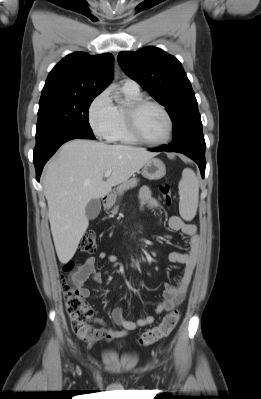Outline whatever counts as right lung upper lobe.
Listing matches in <instances>:
<instances>
[{
  "label": "right lung upper lobe",
  "mask_w": 261,
  "mask_h": 399,
  "mask_svg": "<svg viewBox=\"0 0 261 399\" xmlns=\"http://www.w3.org/2000/svg\"><path fill=\"white\" fill-rule=\"evenodd\" d=\"M113 56L110 53L92 56L83 52L67 55L51 70L42 96L99 95L111 82Z\"/></svg>",
  "instance_id": "cb5924a9"
}]
</instances>
